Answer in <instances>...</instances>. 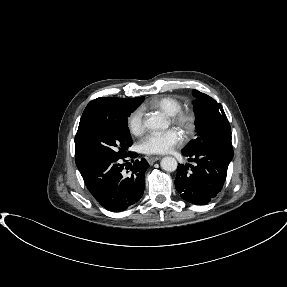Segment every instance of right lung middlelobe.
<instances>
[{"instance_id":"1","label":"right lung middle lobe","mask_w":287,"mask_h":287,"mask_svg":"<svg viewBox=\"0 0 287 287\" xmlns=\"http://www.w3.org/2000/svg\"><path fill=\"white\" fill-rule=\"evenodd\" d=\"M137 106H127L94 125L84 138V164L92 166L109 159H121L129 155L132 144L127 117Z\"/></svg>"}]
</instances>
